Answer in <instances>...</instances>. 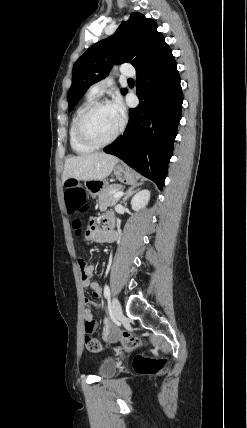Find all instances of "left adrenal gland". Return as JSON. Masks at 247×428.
I'll use <instances>...</instances> for the list:
<instances>
[{"label":"left adrenal gland","instance_id":"1","mask_svg":"<svg viewBox=\"0 0 247 428\" xmlns=\"http://www.w3.org/2000/svg\"><path fill=\"white\" fill-rule=\"evenodd\" d=\"M140 185H142V183H137V184H135V185H132L131 187H129L128 189H127V191L124 193V196H123V198H122V201H121V203H125V201L133 194V193H135L136 191L134 190L136 187H138V186H140Z\"/></svg>","mask_w":247,"mask_h":428}]
</instances>
